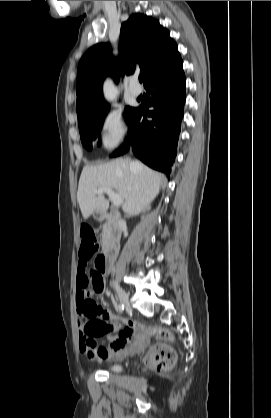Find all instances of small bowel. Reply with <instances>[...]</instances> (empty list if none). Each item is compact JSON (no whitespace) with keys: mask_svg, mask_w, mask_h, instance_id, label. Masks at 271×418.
I'll return each instance as SVG.
<instances>
[{"mask_svg":"<svg viewBox=\"0 0 271 418\" xmlns=\"http://www.w3.org/2000/svg\"><path fill=\"white\" fill-rule=\"evenodd\" d=\"M103 292L102 269L78 263L76 275V312L80 331V350L91 362L122 359L142 349L147 343L146 331L133 323H123L118 317L104 311L94 295ZM118 331L117 335L113 332ZM108 346H98L95 339H104Z\"/></svg>","mask_w":271,"mask_h":418,"instance_id":"1","label":"small bowel"}]
</instances>
